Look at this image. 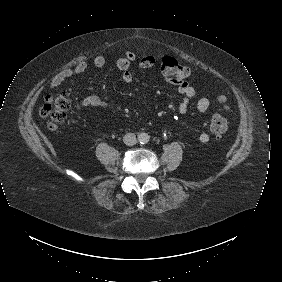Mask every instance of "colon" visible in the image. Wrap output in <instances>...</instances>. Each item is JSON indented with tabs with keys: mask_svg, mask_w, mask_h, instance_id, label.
I'll return each instance as SVG.
<instances>
[{
	"mask_svg": "<svg viewBox=\"0 0 282 282\" xmlns=\"http://www.w3.org/2000/svg\"><path fill=\"white\" fill-rule=\"evenodd\" d=\"M161 70L165 76L175 83H181L190 76L187 67L181 65L171 57L161 59ZM220 104H224L223 97L218 98ZM71 108L70 100L63 94H57L49 99L40 108V114L48 119V126L56 129L66 116V112ZM228 129V121L222 115H214L211 119L210 130L216 135L225 133Z\"/></svg>",
	"mask_w": 282,
	"mask_h": 282,
	"instance_id": "1",
	"label": "colon"
}]
</instances>
